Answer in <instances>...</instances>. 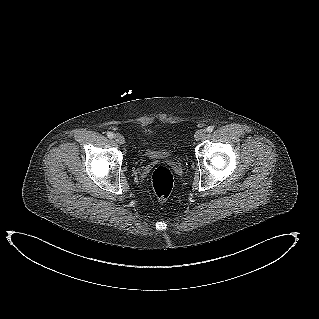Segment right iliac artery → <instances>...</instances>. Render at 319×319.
Here are the masks:
<instances>
[{
  "label": "right iliac artery",
  "instance_id": "right-iliac-artery-1",
  "mask_svg": "<svg viewBox=\"0 0 319 319\" xmlns=\"http://www.w3.org/2000/svg\"><path fill=\"white\" fill-rule=\"evenodd\" d=\"M108 138L112 139L114 138V134L112 132H108L107 133Z\"/></svg>",
  "mask_w": 319,
  "mask_h": 319
}]
</instances>
